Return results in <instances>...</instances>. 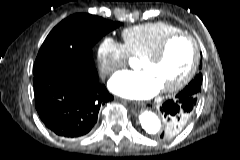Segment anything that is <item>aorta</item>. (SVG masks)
Segmentation results:
<instances>
[{"label":"aorta","instance_id":"obj_1","mask_svg":"<svg viewBox=\"0 0 240 160\" xmlns=\"http://www.w3.org/2000/svg\"><path fill=\"white\" fill-rule=\"evenodd\" d=\"M141 127L149 135H157L161 130V120L150 110H141L139 114Z\"/></svg>","mask_w":240,"mask_h":160}]
</instances>
